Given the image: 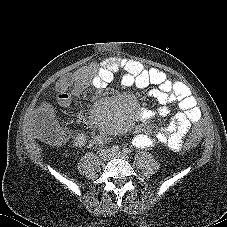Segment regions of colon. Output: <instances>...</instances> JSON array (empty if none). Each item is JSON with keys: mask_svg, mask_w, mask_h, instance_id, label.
<instances>
[{"mask_svg": "<svg viewBox=\"0 0 227 227\" xmlns=\"http://www.w3.org/2000/svg\"><path fill=\"white\" fill-rule=\"evenodd\" d=\"M61 96L58 94V101ZM40 139L49 145L62 144L66 139V134L63 128L55 122L44 123L37 128ZM200 144L197 136H186L184 138V146L187 150L192 151Z\"/></svg>", "mask_w": 227, "mask_h": 227, "instance_id": "colon-1", "label": "colon"}]
</instances>
